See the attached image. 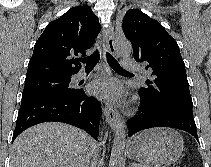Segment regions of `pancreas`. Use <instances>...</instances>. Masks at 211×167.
I'll list each match as a JSON object with an SVG mask.
<instances>
[{"instance_id": "obj_1", "label": "pancreas", "mask_w": 211, "mask_h": 167, "mask_svg": "<svg viewBox=\"0 0 211 167\" xmlns=\"http://www.w3.org/2000/svg\"><path fill=\"white\" fill-rule=\"evenodd\" d=\"M130 167H143L141 164H132Z\"/></svg>"}]
</instances>
